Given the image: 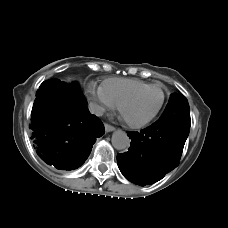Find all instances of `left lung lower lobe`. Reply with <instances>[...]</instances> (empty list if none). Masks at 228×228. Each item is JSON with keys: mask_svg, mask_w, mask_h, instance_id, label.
Instances as JSON below:
<instances>
[{"mask_svg": "<svg viewBox=\"0 0 228 228\" xmlns=\"http://www.w3.org/2000/svg\"><path fill=\"white\" fill-rule=\"evenodd\" d=\"M178 120L160 117L140 132H127L131 147L117 155L125 178L141 186L150 185L178 166L191 124L190 118Z\"/></svg>", "mask_w": 228, "mask_h": 228, "instance_id": "1", "label": "left lung lower lobe"}]
</instances>
